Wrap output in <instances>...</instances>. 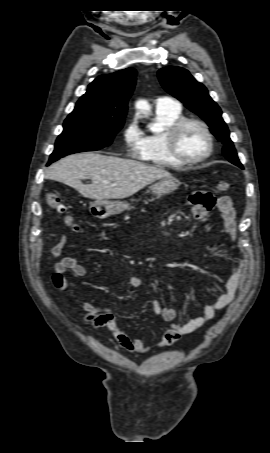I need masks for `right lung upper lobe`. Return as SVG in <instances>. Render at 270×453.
<instances>
[{
	"instance_id": "1",
	"label": "right lung upper lobe",
	"mask_w": 270,
	"mask_h": 453,
	"mask_svg": "<svg viewBox=\"0 0 270 453\" xmlns=\"http://www.w3.org/2000/svg\"><path fill=\"white\" fill-rule=\"evenodd\" d=\"M136 80V71L126 68L96 78L87 92L78 100L70 116L92 115L103 119L124 122L127 102Z\"/></svg>"
}]
</instances>
